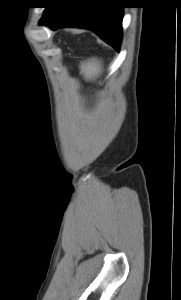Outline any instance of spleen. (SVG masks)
<instances>
[{
	"label": "spleen",
	"instance_id": "obj_1",
	"mask_svg": "<svg viewBox=\"0 0 181 300\" xmlns=\"http://www.w3.org/2000/svg\"><path fill=\"white\" fill-rule=\"evenodd\" d=\"M102 66L100 61L95 58L82 62L80 65V73L87 79H95L101 72Z\"/></svg>",
	"mask_w": 181,
	"mask_h": 300
}]
</instances>
